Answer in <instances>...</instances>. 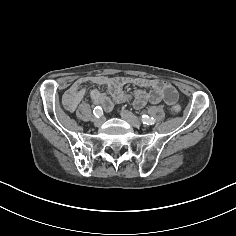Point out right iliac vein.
Returning a JSON list of instances; mask_svg holds the SVG:
<instances>
[{
	"mask_svg": "<svg viewBox=\"0 0 236 236\" xmlns=\"http://www.w3.org/2000/svg\"><path fill=\"white\" fill-rule=\"evenodd\" d=\"M92 122L95 126H100L103 122H104V119L103 118H93L92 119Z\"/></svg>",
	"mask_w": 236,
	"mask_h": 236,
	"instance_id": "right-iliac-vein-1",
	"label": "right iliac vein"
}]
</instances>
